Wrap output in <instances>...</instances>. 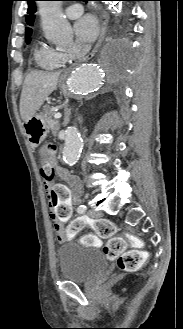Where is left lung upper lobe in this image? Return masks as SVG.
I'll return each mask as SVG.
<instances>
[{
    "instance_id": "left-lung-upper-lobe-1",
    "label": "left lung upper lobe",
    "mask_w": 183,
    "mask_h": 329,
    "mask_svg": "<svg viewBox=\"0 0 183 329\" xmlns=\"http://www.w3.org/2000/svg\"><path fill=\"white\" fill-rule=\"evenodd\" d=\"M28 2V15H26V23L29 26H32L34 23V13L36 11L35 7V1L37 0H26ZM31 35H32V29L30 27H26V34H25V40L27 43H30L31 41Z\"/></svg>"
}]
</instances>
